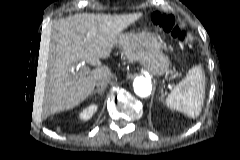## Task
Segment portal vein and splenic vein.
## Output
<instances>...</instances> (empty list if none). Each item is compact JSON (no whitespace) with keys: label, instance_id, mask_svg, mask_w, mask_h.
I'll return each instance as SVG.
<instances>
[{"label":"portal vein and splenic vein","instance_id":"18ae733b","mask_svg":"<svg viewBox=\"0 0 240 160\" xmlns=\"http://www.w3.org/2000/svg\"><path fill=\"white\" fill-rule=\"evenodd\" d=\"M94 64L99 65L100 62L98 60H95ZM89 68L88 67H83V69L80 70L79 76L87 75L89 73Z\"/></svg>","mask_w":240,"mask_h":160}]
</instances>
